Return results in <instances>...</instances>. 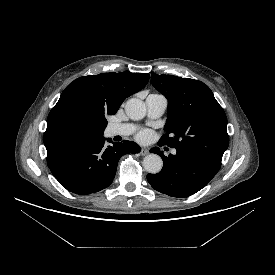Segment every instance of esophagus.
<instances>
[{
	"label": "esophagus",
	"mask_w": 275,
	"mask_h": 275,
	"mask_svg": "<svg viewBox=\"0 0 275 275\" xmlns=\"http://www.w3.org/2000/svg\"><path fill=\"white\" fill-rule=\"evenodd\" d=\"M140 154H141L142 156H145V155L149 154V151H148V149H146V148H142L141 151H140Z\"/></svg>",
	"instance_id": "obj_1"
}]
</instances>
